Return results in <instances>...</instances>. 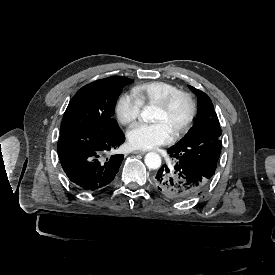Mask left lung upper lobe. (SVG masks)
<instances>
[{"instance_id": "1", "label": "left lung upper lobe", "mask_w": 275, "mask_h": 275, "mask_svg": "<svg viewBox=\"0 0 275 275\" xmlns=\"http://www.w3.org/2000/svg\"><path fill=\"white\" fill-rule=\"evenodd\" d=\"M198 98L194 125L177 144L168 149L170 157L211 179L221 152V128L208 95L189 86Z\"/></svg>"}]
</instances>
